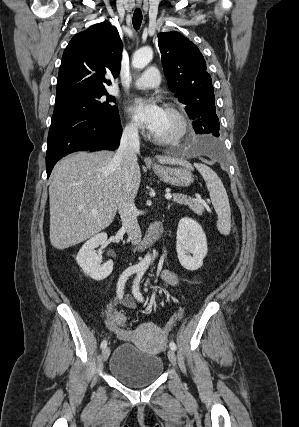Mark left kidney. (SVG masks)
Instances as JSON below:
<instances>
[{
    "label": "left kidney",
    "instance_id": "1",
    "mask_svg": "<svg viewBox=\"0 0 299 427\" xmlns=\"http://www.w3.org/2000/svg\"><path fill=\"white\" fill-rule=\"evenodd\" d=\"M176 250L185 269L194 271L202 266L208 247L205 232L198 222L187 217L179 221Z\"/></svg>",
    "mask_w": 299,
    "mask_h": 427
}]
</instances>
